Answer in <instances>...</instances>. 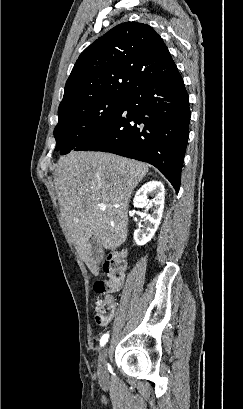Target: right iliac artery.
I'll return each mask as SVG.
<instances>
[{
  "instance_id": "right-iliac-artery-1",
  "label": "right iliac artery",
  "mask_w": 243,
  "mask_h": 409,
  "mask_svg": "<svg viewBox=\"0 0 243 409\" xmlns=\"http://www.w3.org/2000/svg\"><path fill=\"white\" fill-rule=\"evenodd\" d=\"M108 338H109V334H104V335L101 337L100 345H101V346H104V345L106 344V342L108 341Z\"/></svg>"
}]
</instances>
